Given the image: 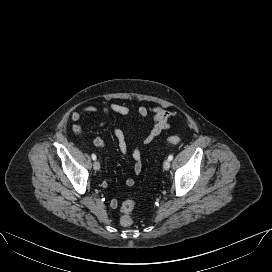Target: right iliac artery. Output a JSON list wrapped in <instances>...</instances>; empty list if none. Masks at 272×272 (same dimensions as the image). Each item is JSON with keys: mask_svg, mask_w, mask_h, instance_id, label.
Segmentation results:
<instances>
[{"mask_svg": "<svg viewBox=\"0 0 272 272\" xmlns=\"http://www.w3.org/2000/svg\"><path fill=\"white\" fill-rule=\"evenodd\" d=\"M91 157H92L93 160H96V155L95 154H92Z\"/></svg>", "mask_w": 272, "mask_h": 272, "instance_id": "obj_1", "label": "right iliac artery"}]
</instances>
